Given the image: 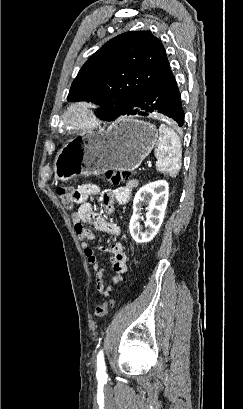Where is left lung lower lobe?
I'll return each mask as SVG.
<instances>
[{"mask_svg":"<svg viewBox=\"0 0 243 409\" xmlns=\"http://www.w3.org/2000/svg\"><path fill=\"white\" fill-rule=\"evenodd\" d=\"M153 112L172 118L179 126L184 123L181 97L172 71L151 85L129 107L117 114L148 116ZM117 114L113 117H105L104 120L113 121L119 117H116Z\"/></svg>","mask_w":243,"mask_h":409,"instance_id":"obj_1","label":"left lung lower lobe"}]
</instances>
